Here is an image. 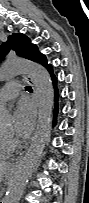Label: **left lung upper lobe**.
Here are the masks:
<instances>
[{
    "label": "left lung upper lobe",
    "mask_w": 89,
    "mask_h": 203,
    "mask_svg": "<svg viewBox=\"0 0 89 203\" xmlns=\"http://www.w3.org/2000/svg\"><path fill=\"white\" fill-rule=\"evenodd\" d=\"M10 49L16 51L18 56L38 62L41 53L35 44L24 34H13L8 37V41L0 47V59H2Z\"/></svg>",
    "instance_id": "1"
}]
</instances>
